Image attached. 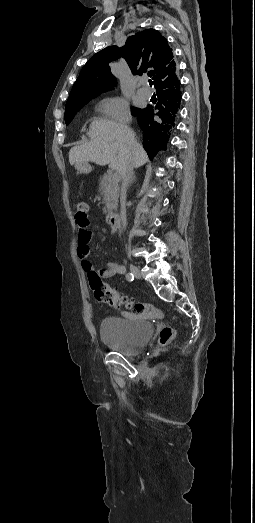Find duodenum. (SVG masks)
Segmentation results:
<instances>
[{"label":"duodenum","instance_id":"410a0bca","mask_svg":"<svg viewBox=\"0 0 255 523\" xmlns=\"http://www.w3.org/2000/svg\"><path fill=\"white\" fill-rule=\"evenodd\" d=\"M108 225L112 228H118L120 226V215L118 213H110L106 217Z\"/></svg>","mask_w":255,"mask_h":523}]
</instances>
